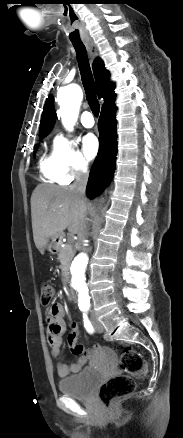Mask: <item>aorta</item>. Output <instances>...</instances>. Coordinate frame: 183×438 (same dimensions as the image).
<instances>
[{
  "instance_id": "aorta-1",
  "label": "aorta",
  "mask_w": 183,
  "mask_h": 438,
  "mask_svg": "<svg viewBox=\"0 0 183 438\" xmlns=\"http://www.w3.org/2000/svg\"><path fill=\"white\" fill-rule=\"evenodd\" d=\"M83 98L81 88L77 84H69L58 90L57 101L60 105V115L64 127L72 130L79 114L80 104ZM89 265V257L80 253L74 259L71 266L70 285L75 291L79 306L90 304L89 288L86 273Z\"/></svg>"
}]
</instances>
